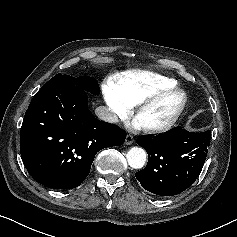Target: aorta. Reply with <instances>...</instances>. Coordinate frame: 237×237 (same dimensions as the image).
<instances>
[{
  "mask_svg": "<svg viewBox=\"0 0 237 237\" xmlns=\"http://www.w3.org/2000/svg\"><path fill=\"white\" fill-rule=\"evenodd\" d=\"M126 157L130 167L140 169L145 165L147 153L143 148L133 147L128 151Z\"/></svg>",
  "mask_w": 237,
  "mask_h": 237,
  "instance_id": "1",
  "label": "aorta"
}]
</instances>
